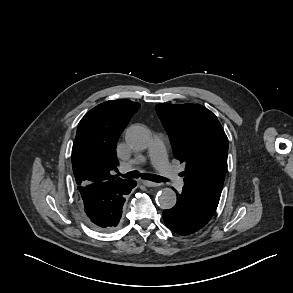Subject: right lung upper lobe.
<instances>
[{"instance_id":"1","label":"right lung upper lobe","mask_w":293,"mask_h":293,"mask_svg":"<svg viewBox=\"0 0 293 293\" xmlns=\"http://www.w3.org/2000/svg\"><path fill=\"white\" fill-rule=\"evenodd\" d=\"M140 104L126 99L110 100L90 110L79 122L72 148V167L78 186L120 184L116 143Z\"/></svg>"}]
</instances>
